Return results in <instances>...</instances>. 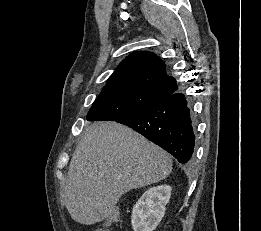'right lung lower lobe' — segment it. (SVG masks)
Segmentation results:
<instances>
[{
  "label": "right lung lower lobe",
  "mask_w": 261,
  "mask_h": 231,
  "mask_svg": "<svg viewBox=\"0 0 261 231\" xmlns=\"http://www.w3.org/2000/svg\"><path fill=\"white\" fill-rule=\"evenodd\" d=\"M141 133L172 154L178 162L189 165L195 145V121L183 93L168 95L144 110L117 120Z\"/></svg>",
  "instance_id": "98d812e1"
}]
</instances>
